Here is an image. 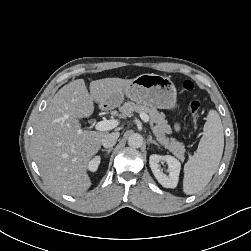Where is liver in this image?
Returning <instances> with one entry per match:
<instances>
[{"mask_svg":"<svg viewBox=\"0 0 251 251\" xmlns=\"http://www.w3.org/2000/svg\"><path fill=\"white\" fill-rule=\"evenodd\" d=\"M132 79L105 78L90 83L83 79L63 86L51 99L34 126L31 146L44 180L53 189L80 195L91 186L88 163L99 151L103 131L81 129L80 118L94 112V102L106 105L110 95Z\"/></svg>","mask_w":251,"mask_h":251,"instance_id":"1","label":"liver"}]
</instances>
